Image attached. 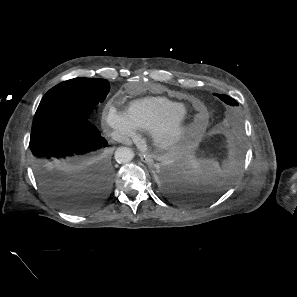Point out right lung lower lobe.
<instances>
[{"label": "right lung lower lobe", "mask_w": 297, "mask_h": 297, "mask_svg": "<svg viewBox=\"0 0 297 297\" xmlns=\"http://www.w3.org/2000/svg\"><path fill=\"white\" fill-rule=\"evenodd\" d=\"M29 146L37 180L59 208L85 213L102 205L114 172L107 141L86 117H59L32 128Z\"/></svg>", "instance_id": "right-lung-lower-lobe-1"}]
</instances>
